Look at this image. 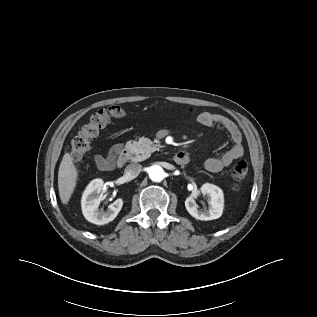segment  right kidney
Instances as JSON below:
<instances>
[{
  "instance_id": "obj_1",
  "label": "right kidney",
  "mask_w": 317,
  "mask_h": 317,
  "mask_svg": "<svg viewBox=\"0 0 317 317\" xmlns=\"http://www.w3.org/2000/svg\"><path fill=\"white\" fill-rule=\"evenodd\" d=\"M103 180H92L82 195L81 206L85 219L96 225H104L113 221L123 206V200L121 198L115 200L108 206V210L105 212L99 210L101 198L97 197L103 189Z\"/></svg>"
}]
</instances>
